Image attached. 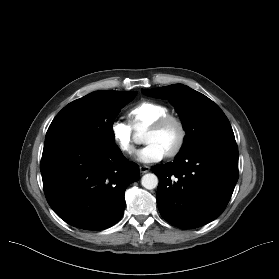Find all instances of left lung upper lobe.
I'll return each mask as SVG.
<instances>
[{
  "instance_id": "5c2ea615",
  "label": "left lung upper lobe",
  "mask_w": 279,
  "mask_h": 279,
  "mask_svg": "<svg viewBox=\"0 0 279 279\" xmlns=\"http://www.w3.org/2000/svg\"><path fill=\"white\" fill-rule=\"evenodd\" d=\"M155 98L169 99L177 110L186 132L178 154L194 146L217 139H235L229 120L220 107L200 92L182 84L144 90Z\"/></svg>"
}]
</instances>
